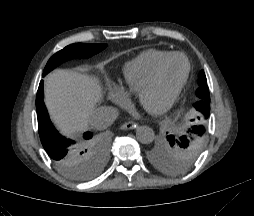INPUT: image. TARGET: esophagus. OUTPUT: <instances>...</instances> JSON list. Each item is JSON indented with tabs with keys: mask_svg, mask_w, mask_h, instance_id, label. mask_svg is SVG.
I'll list each match as a JSON object with an SVG mask.
<instances>
[{
	"mask_svg": "<svg viewBox=\"0 0 254 216\" xmlns=\"http://www.w3.org/2000/svg\"><path fill=\"white\" fill-rule=\"evenodd\" d=\"M137 126H138L137 123H135L133 121H129V122L122 124L120 128L123 130H130V129H135Z\"/></svg>",
	"mask_w": 254,
	"mask_h": 216,
	"instance_id": "esophagus-1",
	"label": "esophagus"
}]
</instances>
